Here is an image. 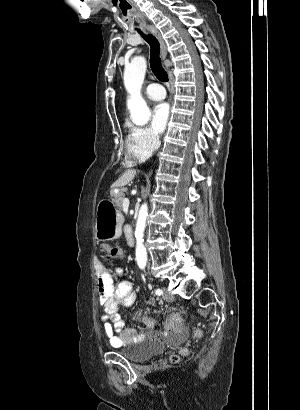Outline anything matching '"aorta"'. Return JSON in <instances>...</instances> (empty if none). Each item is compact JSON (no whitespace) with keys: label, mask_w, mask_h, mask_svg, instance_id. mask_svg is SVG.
Here are the masks:
<instances>
[{"label":"aorta","mask_w":300,"mask_h":410,"mask_svg":"<svg viewBox=\"0 0 300 410\" xmlns=\"http://www.w3.org/2000/svg\"><path fill=\"white\" fill-rule=\"evenodd\" d=\"M146 60L144 57H135L126 66L124 71V85L129 93L127 107L134 124L142 126L150 119V110L141 95V88L146 73ZM148 216V205L143 203L140 207L136 228V262L140 269H144L147 264V252L144 247V230Z\"/></svg>","instance_id":"1"}]
</instances>
